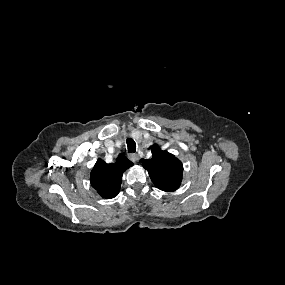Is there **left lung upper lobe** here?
I'll list each match as a JSON object with an SVG mask.
<instances>
[{"label": "left lung upper lobe", "instance_id": "obj_1", "mask_svg": "<svg viewBox=\"0 0 285 285\" xmlns=\"http://www.w3.org/2000/svg\"><path fill=\"white\" fill-rule=\"evenodd\" d=\"M152 158L143 161L154 185L160 190L170 192L179 188L182 181V163L171 153L152 146Z\"/></svg>", "mask_w": 285, "mask_h": 285}]
</instances>
